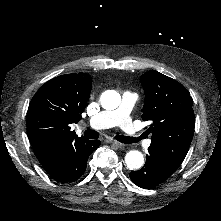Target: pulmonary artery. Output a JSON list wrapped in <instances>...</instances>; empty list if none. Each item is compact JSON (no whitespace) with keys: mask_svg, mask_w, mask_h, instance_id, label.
Returning a JSON list of instances; mask_svg holds the SVG:
<instances>
[{"mask_svg":"<svg viewBox=\"0 0 221 221\" xmlns=\"http://www.w3.org/2000/svg\"><path fill=\"white\" fill-rule=\"evenodd\" d=\"M135 107V98L132 96H125L121 100L120 109L111 108L103 112H94L89 117V124L93 128H101L120 123V129L123 135L127 138H134L138 134L136 122L131 118V111Z\"/></svg>","mask_w":221,"mask_h":221,"instance_id":"e3ab8cb5","label":"pulmonary artery"}]
</instances>
